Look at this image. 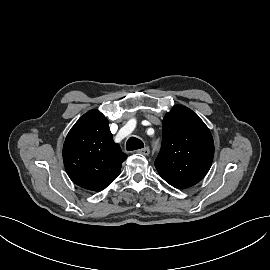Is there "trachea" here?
I'll use <instances>...</instances> for the list:
<instances>
[{
    "label": "trachea",
    "mask_w": 270,
    "mask_h": 270,
    "mask_svg": "<svg viewBox=\"0 0 270 270\" xmlns=\"http://www.w3.org/2000/svg\"><path fill=\"white\" fill-rule=\"evenodd\" d=\"M143 147H144V143L136 137H130L126 142V149L128 151L141 149Z\"/></svg>",
    "instance_id": "3493384b"
}]
</instances>
